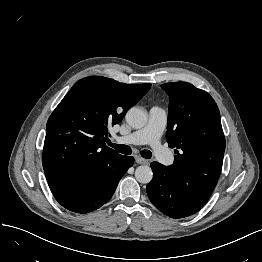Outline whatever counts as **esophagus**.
Segmentation results:
<instances>
[{"instance_id": "obj_1", "label": "esophagus", "mask_w": 262, "mask_h": 262, "mask_svg": "<svg viewBox=\"0 0 262 262\" xmlns=\"http://www.w3.org/2000/svg\"><path fill=\"white\" fill-rule=\"evenodd\" d=\"M135 162L138 164H148V161L140 156L135 157Z\"/></svg>"}]
</instances>
